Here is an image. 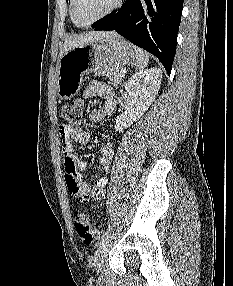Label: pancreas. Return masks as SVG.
Here are the masks:
<instances>
[{
	"instance_id": "1",
	"label": "pancreas",
	"mask_w": 233,
	"mask_h": 286,
	"mask_svg": "<svg viewBox=\"0 0 233 286\" xmlns=\"http://www.w3.org/2000/svg\"><path fill=\"white\" fill-rule=\"evenodd\" d=\"M121 66H106L98 70L96 75H103L109 78L110 81L114 83V85L121 84L122 77H120V72L122 71Z\"/></svg>"
}]
</instances>
